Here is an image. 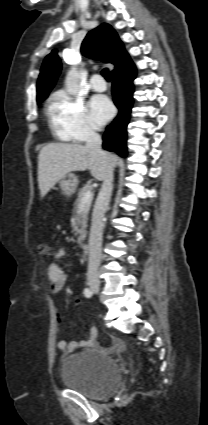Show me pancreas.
<instances>
[{"instance_id":"cf45deb5","label":"pancreas","mask_w":208,"mask_h":425,"mask_svg":"<svg viewBox=\"0 0 208 425\" xmlns=\"http://www.w3.org/2000/svg\"><path fill=\"white\" fill-rule=\"evenodd\" d=\"M92 187L90 185H85L83 188H81L78 192V197L75 202V207L73 210V223L72 227L76 231V234L79 235L78 237V244L80 246H83V241L85 240L86 234H87V221H88V213L91 207V202H88L80 215H78V210L81 207L83 196L86 192L91 191Z\"/></svg>"}]
</instances>
